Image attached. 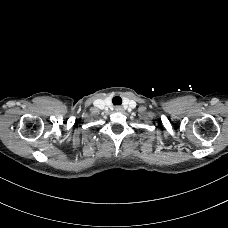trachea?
I'll return each mask as SVG.
<instances>
[{"label":"trachea","instance_id":"3493384b","mask_svg":"<svg viewBox=\"0 0 228 228\" xmlns=\"http://www.w3.org/2000/svg\"><path fill=\"white\" fill-rule=\"evenodd\" d=\"M112 103H113L114 105H121L122 99H121L119 96H115V97L112 99Z\"/></svg>","mask_w":228,"mask_h":228}]
</instances>
